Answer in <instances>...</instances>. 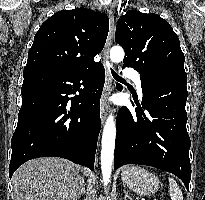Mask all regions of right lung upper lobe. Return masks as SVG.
I'll list each match as a JSON object with an SVG mask.
<instances>
[{"label":"right lung upper lobe","instance_id":"obj_1","mask_svg":"<svg viewBox=\"0 0 205 200\" xmlns=\"http://www.w3.org/2000/svg\"><path fill=\"white\" fill-rule=\"evenodd\" d=\"M109 19L87 8L62 10L37 31L24 70L80 71L97 64L94 57L106 42Z\"/></svg>","mask_w":205,"mask_h":200}]
</instances>
